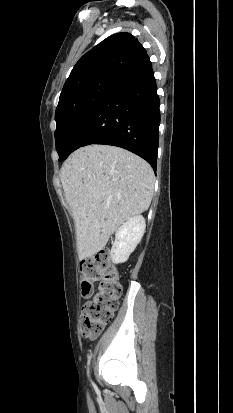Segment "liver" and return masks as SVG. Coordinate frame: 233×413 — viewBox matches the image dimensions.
<instances>
[{
    "label": "liver",
    "instance_id": "1",
    "mask_svg": "<svg viewBox=\"0 0 233 413\" xmlns=\"http://www.w3.org/2000/svg\"><path fill=\"white\" fill-rule=\"evenodd\" d=\"M60 177L75 221L79 259L103 249L121 224L149 208L153 196L151 166L119 147L76 150L63 164Z\"/></svg>",
    "mask_w": 233,
    "mask_h": 413
}]
</instances>
